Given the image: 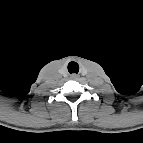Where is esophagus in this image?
I'll return each mask as SVG.
<instances>
[{
	"instance_id": "obj_1",
	"label": "esophagus",
	"mask_w": 143,
	"mask_h": 143,
	"mask_svg": "<svg viewBox=\"0 0 143 143\" xmlns=\"http://www.w3.org/2000/svg\"><path fill=\"white\" fill-rule=\"evenodd\" d=\"M77 78H78V75H76V74L71 75V79H77Z\"/></svg>"
}]
</instances>
